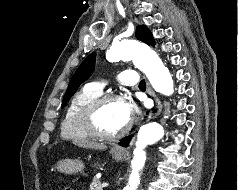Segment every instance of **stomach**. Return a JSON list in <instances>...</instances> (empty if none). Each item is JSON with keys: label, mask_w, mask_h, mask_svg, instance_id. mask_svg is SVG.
<instances>
[{"label": "stomach", "mask_w": 238, "mask_h": 190, "mask_svg": "<svg viewBox=\"0 0 238 190\" xmlns=\"http://www.w3.org/2000/svg\"><path fill=\"white\" fill-rule=\"evenodd\" d=\"M110 153L112 158L116 161H121L126 158V152L123 149L113 148ZM55 168L64 174H73L83 170L84 164L79 160L65 159L57 162Z\"/></svg>", "instance_id": "1"}]
</instances>
